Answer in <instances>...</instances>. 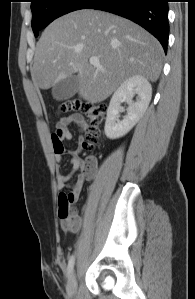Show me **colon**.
I'll return each mask as SVG.
<instances>
[{
  "mask_svg": "<svg viewBox=\"0 0 195 299\" xmlns=\"http://www.w3.org/2000/svg\"><path fill=\"white\" fill-rule=\"evenodd\" d=\"M60 112H80L88 117L90 120L91 127L88 130L86 135V140L84 141V147L91 146L99 136V127L101 126L107 107L103 103H96L85 101L79 98H70L66 99L60 104L59 107ZM84 172L86 176H91V170L88 167L87 163L84 167ZM75 214V207H74V198L71 195H67L64 193L60 197V208H59V215L60 217H69Z\"/></svg>",
  "mask_w": 195,
  "mask_h": 299,
  "instance_id": "colon-1",
  "label": "colon"
}]
</instances>
